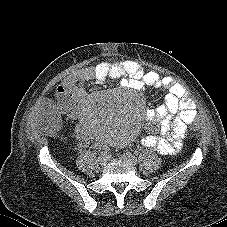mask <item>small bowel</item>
Listing matches in <instances>:
<instances>
[{"label":"small bowel","mask_w":227,"mask_h":227,"mask_svg":"<svg viewBox=\"0 0 227 227\" xmlns=\"http://www.w3.org/2000/svg\"><path fill=\"white\" fill-rule=\"evenodd\" d=\"M116 78H121L124 87L134 90L154 86L167 91L164 102L147 111L146 119L156 125L141 142L143 146L156 149L161 154L178 153L183 146L186 126L195 118L196 104L187 95L184 86L172 77L161 76L154 71L146 72L133 61L102 62L67 76L57 87L56 99L64 110L74 109L86 98L85 82L101 85L108 79ZM54 107L53 101L47 100L42 112L51 113Z\"/></svg>","instance_id":"1"}]
</instances>
